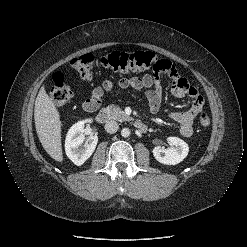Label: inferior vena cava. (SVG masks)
<instances>
[{
	"label": "inferior vena cava",
	"instance_id": "inferior-vena-cava-1",
	"mask_svg": "<svg viewBox=\"0 0 247 247\" xmlns=\"http://www.w3.org/2000/svg\"><path fill=\"white\" fill-rule=\"evenodd\" d=\"M118 128H119V125L114 120H110V121H107L105 123V130H106V132H108L110 134L117 132Z\"/></svg>",
	"mask_w": 247,
	"mask_h": 247
}]
</instances>
